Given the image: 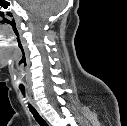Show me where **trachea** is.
Returning a JSON list of instances; mask_svg holds the SVG:
<instances>
[{"instance_id":"1","label":"trachea","mask_w":127,"mask_h":126,"mask_svg":"<svg viewBox=\"0 0 127 126\" xmlns=\"http://www.w3.org/2000/svg\"><path fill=\"white\" fill-rule=\"evenodd\" d=\"M20 90H21L22 95L25 97V89L21 88ZM28 107L31 113L33 114L35 120L39 123L40 126H48L45 120H43V118L39 115V113L36 111V109L31 104H28Z\"/></svg>"}]
</instances>
